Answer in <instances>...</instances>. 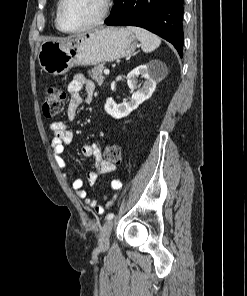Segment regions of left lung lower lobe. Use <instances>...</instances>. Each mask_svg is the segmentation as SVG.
Segmentation results:
<instances>
[{
    "label": "left lung lower lobe",
    "mask_w": 247,
    "mask_h": 296,
    "mask_svg": "<svg viewBox=\"0 0 247 296\" xmlns=\"http://www.w3.org/2000/svg\"><path fill=\"white\" fill-rule=\"evenodd\" d=\"M184 0H115L107 25H133L145 28L165 40L183 55Z\"/></svg>",
    "instance_id": "obj_1"
}]
</instances>
